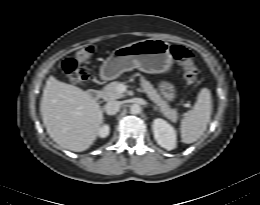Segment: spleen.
<instances>
[{
  "label": "spleen",
  "instance_id": "obj_1",
  "mask_svg": "<svg viewBox=\"0 0 260 205\" xmlns=\"http://www.w3.org/2000/svg\"><path fill=\"white\" fill-rule=\"evenodd\" d=\"M212 112L211 92L207 88L200 90L194 107L187 113L180 125L182 142L197 141L207 129Z\"/></svg>",
  "mask_w": 260,
  "mask_h": 205
}]
</instances>
